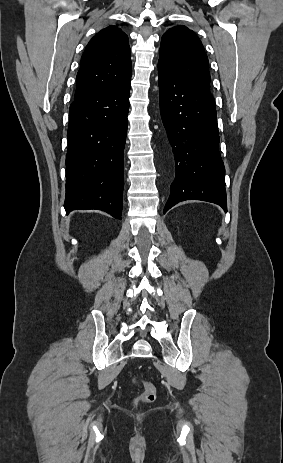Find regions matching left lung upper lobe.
I'll list each match as a JSON object with an SVG mask.
<instances>
[{
	"label": "left lung upper lobe",
	"mask_w": 283,
	"mask_h": 463,
	"mask_svg": "<svg viewBox=\"0 0 283 463\" xmlns=\"http://www.w3.org/2000/svg\"><path fill=\"white\" fill-rule=\"evenodd\" d=\"M158 63L193 89L212 96L208 58L200 39L186 26L178 25L163 34Z\"/></svg>",
	"instance_id": "left-lung-upper-lobe-1"
}]
</instances>
